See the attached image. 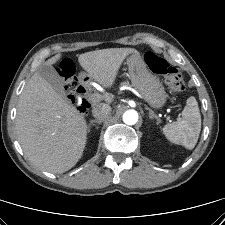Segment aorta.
<instances>
[{"label": "aorta", "instance_id": "1", "mask_svg": "<svg viewBox=\"0 0 225 225\" xmlns=\"http://www.w3.org/2000/svg\"><path fill=\"white\" fill-rule=\"evenodd\" d=\"M123 122L127 125H134L138 121L137 111L130 109L123 114Z\"/></svg>", "mask_w": 225, "mask_h": 225}]
</instances>
